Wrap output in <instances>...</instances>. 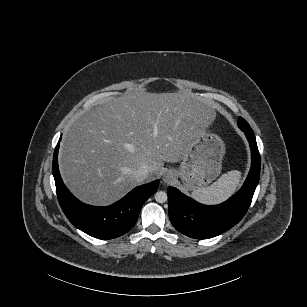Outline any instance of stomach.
I'll return each instance as SVG.
<instances>
[{
  "label": "stomach",
  "instance_id": "stomach-1",
  "mask_svg": "<svg viewBox=\"0 0 307 307\" xmlns=\"http://www.w3.org/2000/svg\"><path fill=\"white\" fill-rule=\"evenodd\" d=\"M225 151V143L220 136L202 132L183 157L176 175L181 177L189 190L207 186L219 176Z\"/></svg>",
  "mask_w": 307,
  "mask_h": 307
}]
</instances>
